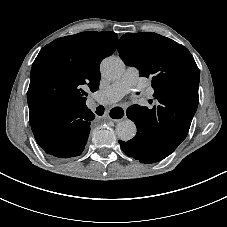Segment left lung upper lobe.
<instances>
[{"label":"left lung upper lobe","mask_w":227,"mask_h":227,"mask_svg":"<svg viewBox=\"0 0 227 227\" xmlns=\"http://www.w3.org/2000/svg\"><path fill=\"white\" fill-rule=\"evenodd\" d=\"M118 52L126 65L152 78L160 105L197 109L200 72L183 45L152 32L126 33L120 38Z\"/></svg>","instance_id":"1"}]
</instances>
